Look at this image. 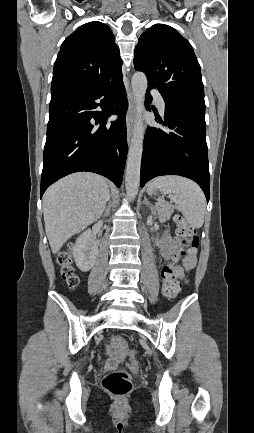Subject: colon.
Segmentation results:
<instances>
[{
    "label": "colon",
    "instance_id": "5ec220e1",
    "mask_svg": "<svg viewBox=\"0 0 254 433\" xmlns=\"http://www.w3.org/2000/svg\"><path fill=\"white\" fill-rule=\"evenodd\" d=\"M174 221L177 225V234L182 239L185 250L182 255L186 254L187 249H195L198 245V236L193 227L188 225L182 217L176 216ZM178 257L175 258L177 261ZM58 264L61 267V275L69 288H75L79 283V277L76 274L75 268L72 263V257L69 252H63L58 256ZM162 280L164 284L163 293L168 298H175L180 290V284L177 280L174 270L165 266L162 269ZM113 344L119 349L125 347V340L123 337H114ZM104 390L115 398H124L132 390V381L130 376L121 371L108 373L102 380Z\"/></svg>",
    "mask_w": 254,
    "mask_h": 433
}]
</instances>
